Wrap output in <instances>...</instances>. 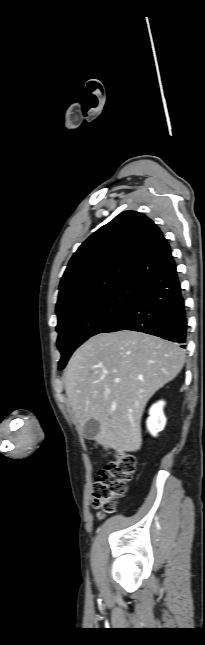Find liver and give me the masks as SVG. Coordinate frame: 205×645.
<instances>
[{"label": "liver", "mask_w": 205, "mask_h": 645, "mask_svg": "<svg viewBox=\"0 0 205 645\" xmlns=\"http://www.w3.org/2000/svg\"><path fill=\"white\" fill-rule=\"evenodd\" d=\"M185 353L178 344L136 331L100 333L71 356L65 390L79 432L99 422L93 438L120 452L142 445L141 418L152 395L182 370Z\"/></svg>", "instance_id": "liver-1"}]
</instances>
